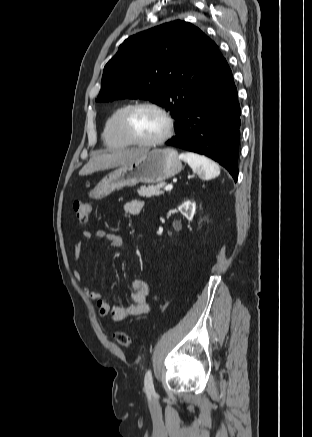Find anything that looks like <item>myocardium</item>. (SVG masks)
I'll list each match as a JSON object with an SVG mask.
<instances>
[{
  "instance_id": "obj_1",
  "label": "myocardium",
  "mask_w": 312,
  "mask_h": 437,
  "mask_svg": "<svg viewBox=\"0 0 312 437\" xmlns=\"http://www.w3.org/2000/svg\"><path fill=\"white\" fill-rule=\"evenodd\" d=\"M142 108H149L156 111L165 120L166 128L164 133L160 137L153 140H141L138 139L132 132L130 127L131 118L137 110ZM119 127L121 133L130 144L144 146V147H153V146L161 145L165 143L167 140H169V138L173 134L174 122L171 115L163 107L153 102L144 101V102H138L133 105H130L123 112L120 118Z\"/></svg>"
}]
</instances>
